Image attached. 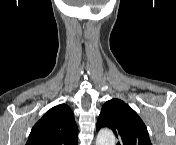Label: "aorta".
Masks as SVG:
<instances>
[{"mask_svg":"<svg viewBox=\"0 0 176 145\" xmlns=\"http://www.w3.org/2000/svg\"><path fill=\"white\" fill-rule=\"evenodd\" d=\"M96 145H115V136L111 130L99 131L96 138Z\"/></svg>","mask_w":176,"mask_h":145,"instance_id":"aorta-1","label":"aorta"}]
</instances>
